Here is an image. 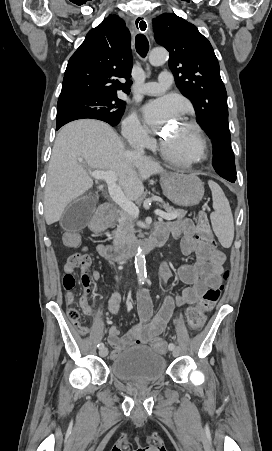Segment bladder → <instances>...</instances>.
Listing matches in <instances>:
<instances>
[{
  "instance_id": "1",
  "label": "bladder",
  "mask_w": 272,
  "mask_h": 451,
  "mask_svg": "<svg viewBox=\"0 0 272 451\" xmlns=\"http://www.w3.org/2000/svg\"><path fill=\"white\" fill-rule=\"evenodd\" d=\"M110 371L120 382L134 384L159 382L166 373V357L147 347L135 346L113 359Z\"/></svg>"
}]
</instances>
